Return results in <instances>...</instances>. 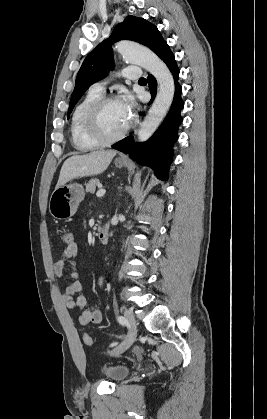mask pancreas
<instances>
[{"mask_svg":"<svg viewBox=\"0 0 267 419\" xmlns=\"http://www.w3.org/2000/svg\"><path fill=\"white\" fill-rule=\"evenodd\" d=\"M101 183L99 179L92 178L89 180V182L86 184V192L94 193L96 190V186H99Z\"/></svg>","mask_w":267,"mask_h":419,"instance_id":"pancreas-1","label":"pancreas"}]
</instances>
